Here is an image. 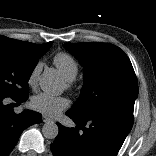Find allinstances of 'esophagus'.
<instances>
[{
	"label": "esophagus",
	"mask_w": 156,
	"mask_h": 156,
	"mask_svg": "<svg viewBox=\"0 0 156 156\" xmlns=\"http://www.w3.org/2000/svg\"><path fill=\"white\" fill-rule=\"evenodd\" d=\"M53 121L51 118L47 117L46 115H43V122L48 123Z\"/></svg>",
	"instance_id": "obj_1"
}]
</instances>
